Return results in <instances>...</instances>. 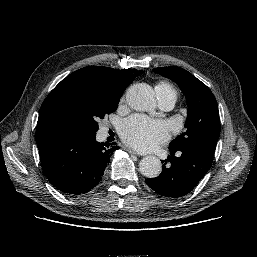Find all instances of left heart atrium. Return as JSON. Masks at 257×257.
Wrapping results in <instances>:
<instances>
[{
    "label": "left heart atrium",
    "instance_id": "obj_1",
    "mask_svg": "<svg viewBox=\"0 0 257 257\" xmlns=\"http://www.w3.org/2000/svg\"><path fill=\"white\" fill-rule=\"evenodd\" d=\"M121 135L127 145L139 151H151L168 141L169 128L161 120L133 115L123 122Z\"/></svg>",
    "mask_w": 257,
    "mask_h": 257
}]
</instances>
